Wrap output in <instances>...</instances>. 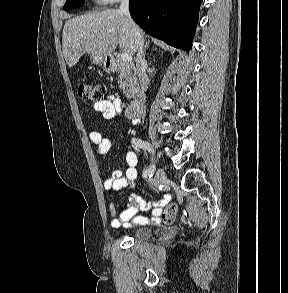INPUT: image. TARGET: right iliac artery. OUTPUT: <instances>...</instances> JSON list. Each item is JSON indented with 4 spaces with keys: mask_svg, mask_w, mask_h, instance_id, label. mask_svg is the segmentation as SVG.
I'll return each instance as SVG.
<instances>
[{
    "mask_svg": "<svg viewBox=\"0 0 288 293\" xmlns=\"http://www.w3.org/2000/svg\"><path fill=\"white\" fill-rule=\"evenodd\" d=\"M132 144L135 145L136 147H139V148H142L144 150H148L149 153H150V156L151 157H154L155 156V150L151 148V146L149 145V143L145 142V141H142L141 139H138V138H132ZM152 163L153 164H156L157 163V160L156 159H153L152 160ZM154 170V166L151 165L149 166L148 168H146L143 172V178H147L149 176V174H151V171Z\"/></svg>",
    "mask_w": 288,
    "mask_h": 293,
    "instance_id": "82829eb1",
    "label": "right iliac artery"
}]
</instances>
